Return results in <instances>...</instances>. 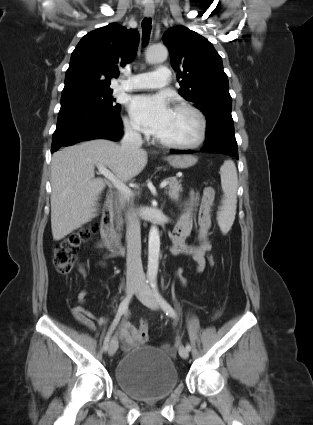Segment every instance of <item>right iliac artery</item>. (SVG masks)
I'll use <instances>...</instances> for the list:
<instances>
[{"label": "right iliac artery", "mask_w": 313, "mask_h": 425, "mask_svg": "<svg viewBox=\"0 0 313 425\" xmlns=\"http://www.w3.org/2000/svg\"><path fill=\"white\" fill-rule=\"evenodd\" d=\"M130 299H131V296H128L120 303L117 314H116V316H115V318H114V320H113V322L110 326V329L107 332V335L105 337L104 344H103L104 351H106L108 349L111 334L114 331V329L116 328L117 324L119 323L122 315L125 314V312L127 311Z\"/></svg>", "instance_id": "obj_1"}]
</instances>
